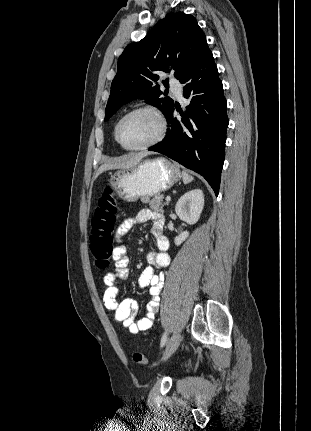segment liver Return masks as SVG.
Returning a JSON list of instances; mask_svg holds the SVG:
<instances>
[{
  "mask_svg": "<svg viewBox=\"0 0 311 431\" xmlns=\"http://www.w3.org/2000/svg\"><path fill=\"white\" fill-rule=\"evenodd\" d=\"M152 152H138V154H130V156H123L120 158L119 162L116 164H102L96 172L95 178H98L103 172L107 170H124V168H133V166H138L142 162L143 158L150 156Z\"/></svg>",
  "mask_w": 311,
  "mask_h": 431,
  "instance_id": "liver-1",
  "label": "liver"
}]
</instances>
